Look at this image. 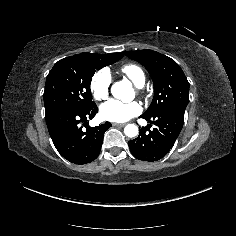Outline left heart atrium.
Wrapping results in <instances>:
<instances>
[{
    "label": "left heart atrium",
    "instance_id": "left-heart-atrium-1",
    "mask_svg": "<svg viewBox=\"0 0 236 236\" xmlns=\"http://www.w3.org/2000/svg\"><path fill=\"white\" fill-rule=\"evenodd\" d=\"M141 112V106L136 102L122 103L111 100L100 109L103 120L111 122H125Z\"/></svg>",
    "mask_w": 236,
    "mask_h": 236
}]
</instances>
